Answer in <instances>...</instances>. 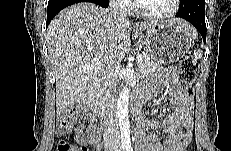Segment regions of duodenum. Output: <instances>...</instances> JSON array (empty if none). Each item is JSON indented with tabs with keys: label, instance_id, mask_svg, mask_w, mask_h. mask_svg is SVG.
<instances>
[{
	"label": "duodenum",
	"instance_id": "410a0bca",
	"mask_svg": "<svg viewBox=\"0 0 231 151\" xmlns=\"http://www.w3.org/2000/svg\"><path fill=\"white\" fill-rule=\"evenodd\" d=\"M97 96V86H93L90 90L89 95L84 99V106L91 112V119L93 122L96 121H107L108 112L105 109H98L95 104ZM142 103L138 98H135L132 102L133 111L136 116L141 115Z\"/></svg>",
	"mask_w": 231,
	"mask_h": 151
}]
</instances>
